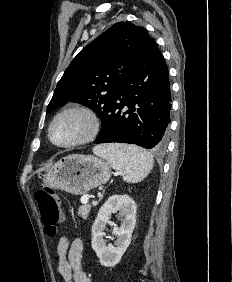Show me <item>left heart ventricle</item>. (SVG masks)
<instances>
[{
	"instance_id": "1",
	"label": "left heart ventricle",
	"mask_w": 232,
	"mask_h": 282,
	"mask_svg": "<svg viewBox=\"0 0 232 282\" xmlns=\"http://www.w3.org/2000/svg\"><path fill=\"white\" fill-rule=\"evenodd\" d=\"M88 129V121L78 114H71L58 120L52 129V137L58 143H66L83 136Z\"/></svg>"
}]
</instances>
